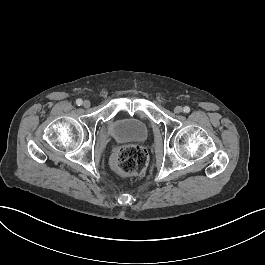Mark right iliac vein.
<instances>
[{"mask_svg":"<svg viewBox=\"0 0 265 265\" xmlns=\"http://www.w3.org/2000/svg\"><path fill=\"white\" fill-rule=\"evenodd\" d=\"M83 106H84L85 108L89 107V106H90V102H89L88 100L84 101V102H83Z\"/></svg>","mask_w":265,"mask_h":265,"instance_id":"right-iliac-vein-1","label":"right iliac vein"}]
</instances>
